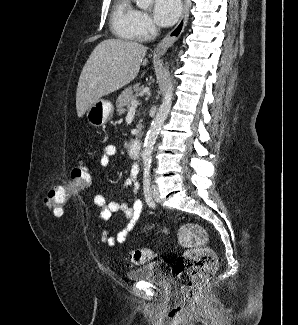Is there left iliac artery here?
<instances>
[{
    "mask_svg": "<svg viewBox=\"0 0 298 325\" xmlns=\"http://www.w3.org/2000/svg\"><path fill=\"white\" fill-rule=\"evenodd\" d=\"M150 184H151V175L149 171H145L143 174V193L145 200L149 207L154 208L155 204L150 195Z\"/></svg>",
    "mask_w": 298,
    "mask_h": 325,
    "instance_id": "1",
    "label": "left iliac artery"
}]
</instances>
